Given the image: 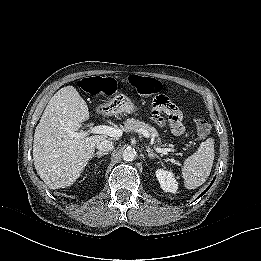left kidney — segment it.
<instances>
[{
    "mask_svg": "<svg viewBox=\"0 0 261 261\" xmlns=\"http://www.w3.org/2000/svg\"><path fill=\"white\" fill-rule=\"evenodd\" d=\"M156 177L160 183L161 188L165 192L175 193L178 189V183L174 178L172 171L158 169L156 171Z\"/></svg>",
    "mask_w": 261,
    "mask_h": 261,
    "instance_id": "obj_1",
    "label": "left kidney"
}]
</instances>
